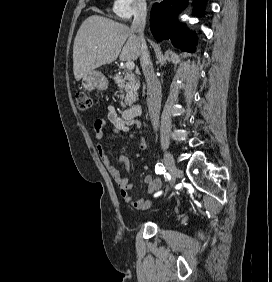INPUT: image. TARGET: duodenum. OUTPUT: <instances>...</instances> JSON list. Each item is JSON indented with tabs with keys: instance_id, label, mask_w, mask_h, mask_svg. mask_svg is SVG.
<instances>
[{
	"instance_id": "duodenum-1",
	"label": "duodenum",
	"mask_w": 272,
	"mask_h": 282,
	"mask_svg": "<svg viewBox=\"0 0 272 282\" xmlns=\"http://www.w3.org/2000/svg\"><path fill=\"white\" fill-rule=\"evenodd\" d=\"M142 113V106L138 102H134L126 107L122 116L126 120H132Z\"/></svg>"
}]
</instances>
